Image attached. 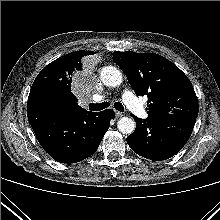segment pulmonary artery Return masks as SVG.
<instances>
[{
	"label": "pulmonary artery",
	"mask_w": 220,
	"mask_h": 220,
	"mask_svg": "<svg viewBox=\"0 0 220 220\" xmlns=\"http://www.w3.org/2000/svg\"><path fill=\"white\" fill-rule=\"evenodd\" d=\"M95 100H100V97L95 98ZM123 100L126 106L138 117L146 118L147 113L143 107V105L138 101V99L134 96V94L129 91L125 90L123 93Z\"/></svg>",
	"instance_id": "e3ab8cb5"
}]
</instances>
